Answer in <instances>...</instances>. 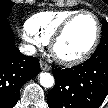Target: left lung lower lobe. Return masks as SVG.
<instances>
[{"mask_svg":"<svg viewBox=\"0 0 108 108\" xmlns=\"http://www.w3.org/2000/svg\"><path fill=\"white\" fill-rule=\"evenodd\" d=\"M55 86L49 108H98L108 96V51L96 50L84 63L52 70Z\"/></svg>","mask_w":108,"mask_h":108,"instance_id":"1","label":"left lung lower lobe"}]
</instances>
